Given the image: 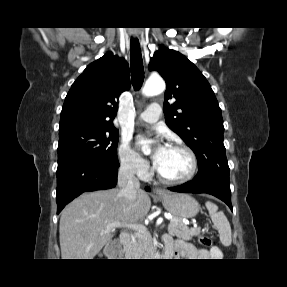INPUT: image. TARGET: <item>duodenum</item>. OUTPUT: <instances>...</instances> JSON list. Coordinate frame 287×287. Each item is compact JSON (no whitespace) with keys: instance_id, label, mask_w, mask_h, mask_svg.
<instances>
[{"instance_id":"obj_1","label":"duodenum","mask_w":287,"mask_h":287,"mask_svg":"<svg viewBox=\"0 0 287 287\" xmlns=\"http://www.w3.org/2000/svg\"><path fill=\"white\" fill-rule=\"evenodd\" d=\"M120 242H121L122 246H123L125 249L129 248V245H130V242H131V235H130V233L127 232V231H122L121 234H120ZM105 252H106L108 255H114V254L112 253V250H111V247H110V246H107V247L105 248ZM166 256L172 257V256L169 254L168 250H166Z\"/></svg>"}]
</instances>
